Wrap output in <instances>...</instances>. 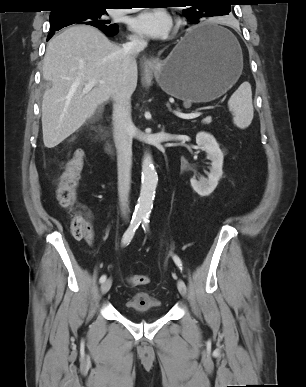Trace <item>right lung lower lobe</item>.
Returning <instances> with one entry per match:
<instances>
[{
	"mask_svg": "<svg viewBox=\"0 0 306 387\" xmlns=\"http://www.w3.org/2000/svg\"><path fill=\"white\" fill-rule=\"evenodd\" d=\"M102 31L107 35V36H113L118 32V27L117 28H111V29H102ZM54 32H51L48 35V40L53 36Z\"/></svg>",
	"mask_w": 306,
	"mask_h": 387,
	"instance_id": "98d812e1",
	"label": "right lung lower lobe"
}]
</instances>
